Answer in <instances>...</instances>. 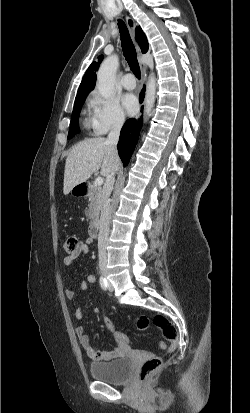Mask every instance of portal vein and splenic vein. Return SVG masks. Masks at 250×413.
I'll list each match as a JSON object with an SVG mask.
<instances>
[{
    "label": "portal vein and splenic vein",
    "instance_id": "obj_1",
    "mask_svg": "<svg viewBox=\"0 0 250 413\" xmlns=\"http://www.w3.org/2000/svg\"><path fill=\"white\" fill-rule=\"evenodd\" d=\"M103 182H104V179H103L102 177H97V178L95 179L94 184H95L96 186H101V185L103 184Z\"/></svg>",
    "mask_w": 250,
    "mask_h": 413
}]
</instances>
